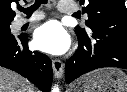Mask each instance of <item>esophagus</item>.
Wrapping results in <instances>:
<instances>
[{"instance_id": "obj_1", "label": "esophagus", "mask_w": 127, "mask_h": 92, "mask_svg": "<svg viewBox=\"0 0 127 92\" xmlns=\"http://www.w3.org/2000/svg\"><path fill=\"white\" fill-rule=\"evenodd\" d=\"M52 68H53L55 77L57 79H60L63 76V72H64L63 62L58 59H53L52 60Z\"/></svg>"}]
</instances>
